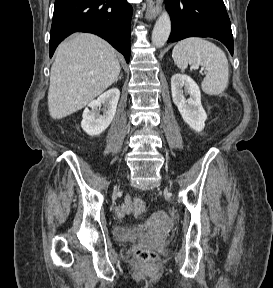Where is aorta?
I'll return each instance as SVG.
<instances>
[{"label": "aorta", "instance_id": "aorta-1", "mask_svg": "<svg viewBox=\"0 0 273 288\" xmlns=\"http://www.w3.org/2000/svg\"><path fill=\"white\" fill-rule=\"evenodd\" d=\"M171 32V21L169 14L164 10L158 17L153 32L152 43L156 47H162L169 38Z\"/></svg>", "mask_w": 273, "mask_h": 288}]
</instances>
